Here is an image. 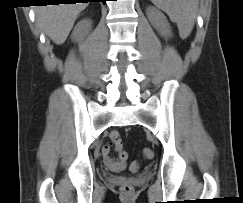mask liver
<instances>
[{
	"instance_id": "obj_1",
	"label": "liver",
	"mask_w": 243,
	"mask_h": 203,
	"mask_svg": "<svg viewBox=\"0 0 243 203\" xmlns=\"http://www.w3.org/2000/svg\"><path fill=\"white\" fill-rule=\"evenodd\" d=\"M86 7V3L38 6L35 9L37 24L56 44L61 45Z\"/></svg>"
}]
</instances>
